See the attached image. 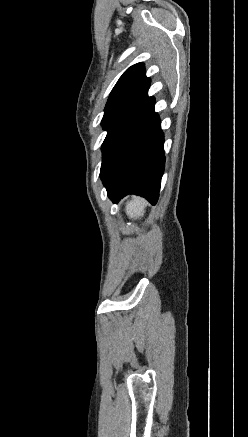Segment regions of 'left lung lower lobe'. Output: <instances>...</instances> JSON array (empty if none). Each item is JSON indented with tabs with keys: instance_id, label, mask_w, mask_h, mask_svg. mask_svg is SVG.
I'll return each instance as SVG.
<instances>
[{
	"instance_id": "left-lung-lower-lobe-1",
	"label": "left lung lower lobe",
	"mask_w": 248,
	"mask_h": 437,
	"mask_svg": "<svg viewBox=\"0 0 248 437\" xmlns=\"http://www.w3.org/2000/svg\"><path fill=\"white\" fill-rule=\"evenodd\" d=\"M148 99L112 134L103 151L100 177L109 198L117 203L127 194L156 204L164 171V135Z\"/></svg>"
}]
</instances>
